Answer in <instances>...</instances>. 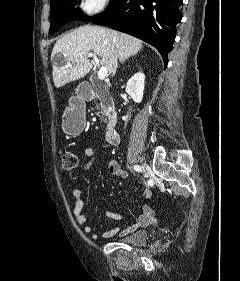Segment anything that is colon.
<instances>
[{
  "label": "colon",
  "instance_id": "obj_1",
  "mask_svg": "<svg viewBox=\"0 0 240 281\" xmlns=\"http://www.w3.org/2000/svg\"><path fill=\"white\" fill-rule=\"evenodd\" d=\"M79 164L78 156L73 151H66L60 161L61 168L65 171L74 170Z\"/></svg>",
  "mask_w": 240,
  "mask_h": 281
}]
</instances>
